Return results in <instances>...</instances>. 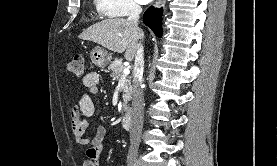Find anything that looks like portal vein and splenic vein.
Wrapping results in <instances>:
<instances>
[{"label":"portal vein and splenic vein","instance_id":"18ae733b","mask_svg":"<svg viewBox=\"0 0 277 166\" xmlns=\"http://www.w3.org/2000/svg\"><path fill=\"white\" fill-rule=\"evenodd\" d=\"M123 73L126 75V74H128L129 73V68L127 67V68H125L124 70H123Z\"/></svg>","mask_w":277,"mask_h":166}]
</instances>
